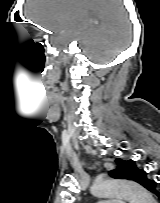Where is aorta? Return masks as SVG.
Listing matches in <instances>:
<instances>
[{
	"label": "aorta",
	"mask_w": 160,
	"mask_h": 203,
	"mask_svg": "<svg viewBox=\"0 0 160 203\" xmlns=\"http://www.w3.org/2000/svg\"><path fill=\"white\" fill-rule=\"evenodd\" d=\"M91 193L100 197H123L129 203H156L152 195L141 185L124 180H102L93 184Z\"/></svg>",
	"instance_id": "762f6f07"
}]
</instances>
